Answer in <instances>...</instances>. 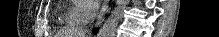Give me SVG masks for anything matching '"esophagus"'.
<instances>
[{
  "mask_svg": "<svg viewBox=\"0 0 219 37\" xmlns=\"http://www.w3.org/2000/svg\"><path fill=\"white\" fill-rule=\"evenodd\" d=\"M112 2H113L112 0H106L104 2L102 9L100 11V14L97 18V25H99L101 23V21L103 20V18L105 17V15L109 11V9L111 8Z\"/></svg>",
  "mask_w": 219,
  "mask_h": 37,
  "instance_id": "obj_1",
  "label": "esophagus"
}]
</instances>
